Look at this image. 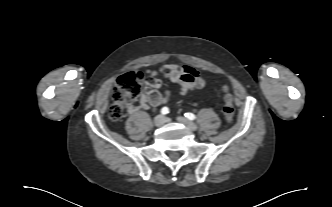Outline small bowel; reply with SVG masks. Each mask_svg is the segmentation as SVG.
I'll list each match as a JSON object with an SVG mask.
<instances>
[{"label":"small bowel","instance_id":"1","mask_svg":"<svg viewBox=\"0 0 332 207\" xmlns=\"http://www.w3.org/2000/svg\"><path fill=\"white\" fill-rule=\"evenodd\" d=\"M165 72H168L173 83L178 84L177 93L180 95L202 89L207 83L206 76L191 66L181 67L176 64H169L162 66L159 71H148L149 79L141 94L139 105L131 106V112H136L138 109H147L150 106H159L169 100L173 90L170 88L162 90V81L158 78L159 74Z\"/></svg>","mask_w":332,"mask_h":207}]
</instances>
